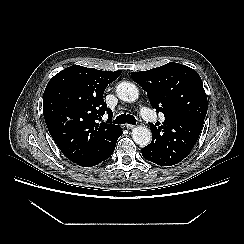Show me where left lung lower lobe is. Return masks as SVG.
I'll return each mask as SVG.
<instances>
[{
    "instance_id": "1",
    "label": "left lung lower lobe",
    "mask_w": 244,
    "mask_h": 244,
    "mask_svg": "<svg viewBox=\"0 0 244 244\" xmlns=\"http://www.w3.org/2000/svg\"><path fill=\"white\" fill-rule=\"evenodd\" d=\"M142 155L145 159L153 162V163H156L157 162V158H156V155L154 154V152L151 150V148L149 147H144L142 148Z\"/></svg>"
}]
</instances>
